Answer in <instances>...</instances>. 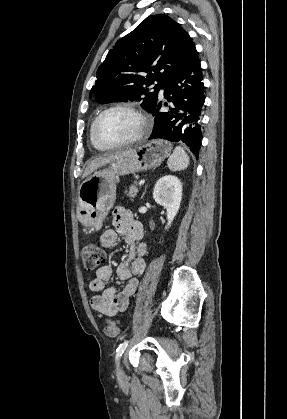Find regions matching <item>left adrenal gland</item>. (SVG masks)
I'll use <instances>...</instances> for the list:
<instances>
[{
  "label": "left adrenal gland",
  "mask_w": 287,
  "mask_h": 419,
  "mask_svg": "<svg viewBox=\"0 0 287 419\" xmlns=\"http://www.w3.org/2000/svg\"><path fill=\"white\" fill-rule=\"evenodd\" d=\"M145 191H146V189H145ZM145 191L143 192L141 199L143 198V196H144V194H145Z\"/></svg>",
  "instance_id": "a2214340"
}]
</instances>
